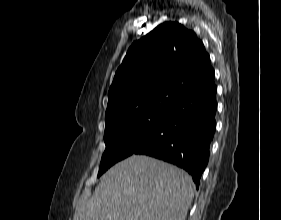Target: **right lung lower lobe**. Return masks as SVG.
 Here are the masks:
<instances>
[{"label": "right lung lower lobe", "mask_w": 281, "mask_h": 220, "mask_svg": "<svg viewBox=\"0 0 281 220\" xmlns=\"http://www.w3.org/2000/svg\"><path fill=\"white\" fill-rule=\"evenodd\" d=\"M216 91L214 84L179 100L163 125L133 154L152 156L183 168L198 188L215 134Z\"/></svg>", "instance_id": "obj_1"}]
</instances>
